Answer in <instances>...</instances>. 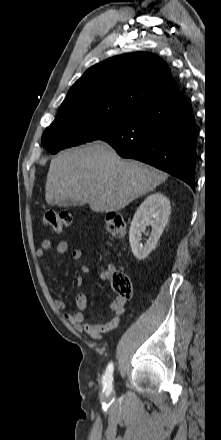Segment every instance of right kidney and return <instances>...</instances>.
Segmentation results:
<instances>
[{
	"label": "right kidney",
	"instance_id": "right-kidney-1",
	"mask_svg": "<svg viewBox=\"0 0 221 440\" xmlns=\"http://www.w3.org/2000/svg\"><path fill=\"white\" fill-rule=\"evenodd\" d=\"M170 201L161 193L149 195L137 209L131 222L129 242L134 256L145 259L155 248L170 215ZM151 225L152 231L147 242L140 243L142 232L146 226Z\"/></svg>",
	"mask_w": 221,
	"mask_h": 440
}]
</instances>
